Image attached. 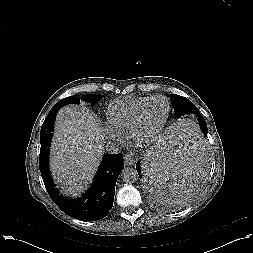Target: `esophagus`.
Here are the masks:
<instances>
[{
  "mask_svg": "<svg viewBox=\"0 0 253 253\" xmlns=\"http://www.w3.org/2000/svg\"><path fill=\"white\" fill-rule=\"evenodd\" d=\"M135 162H136V159L134 158L133 155H131V154H126V155L124 156V164H125L126 166H131V165H133Z\"/></svg>",
  "mask_w": 253,
  "mask_h": 253,
  "instance_id": "1",
  "label": "esophagus"
}]
</instances>
